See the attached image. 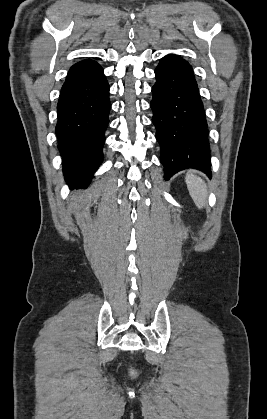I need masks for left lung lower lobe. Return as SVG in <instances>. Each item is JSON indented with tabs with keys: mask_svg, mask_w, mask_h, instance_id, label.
Here are the masks:
<instances>
[{
	"mask_svg": "<svg viewBox=\"0 0 267 419\" xmlns=\"http://www.w3.org/2000/svg\"><path fill=\"white\" fill-rule=\"evenodd\" d=\"M155 75L150 107L165 180L187 168L211 177L208 126L191 65L179 55H167Z\"/></svg>",
	"mask_w": 267,
	"mask_h": 419,
	"instance_id": "obj_1",
	"label": "left lung lower lobe"
}]
</instances>
